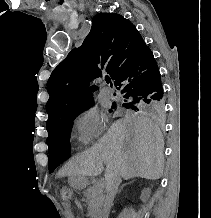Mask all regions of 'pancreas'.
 <instances>
[{
	"mask_svg": "<svg viewBox=\"0 0 211 218\" xmlns=\"http://www.w3.org/2000/svg\"><path fill=\"white\" fill-rule=\"evenodd\" d=\"M103 189L100 186H90V190L86 191V200L89 204V216L90 218H98L103 206L104 196L102 194Z\"/></svg>",
	"mask_w": 211,
	"mask_h": 218,
	"instance_id": "1",
	"label": "pancreas"
}]
</instances>
